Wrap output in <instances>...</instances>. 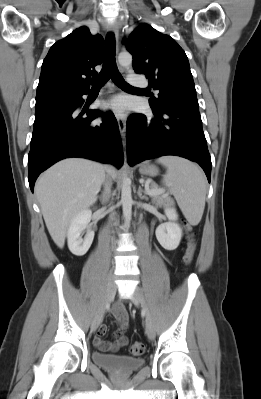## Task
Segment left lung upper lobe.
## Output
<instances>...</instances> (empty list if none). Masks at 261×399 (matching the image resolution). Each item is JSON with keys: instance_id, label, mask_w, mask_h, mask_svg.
Returning a JSON list of instances; mask_svg holds the SVG:
<instances>
[{"instance_id": "1", "label": "left lung upper lobe", "mask_w": 261, "mask_h": 399, "mask_svg": "<svg viewBox=\"0 0 261 399\" xmlns=\"http://www.w3.org/2000/svg\"><path fill=\"white\" fill-rule=\"evenodd\" d=\"M126 47L133 55L135 72L145 74L150 85L160 91L157 98L150 99L153 110L180 103L198 105L188 58L174 39L141 24L130 34Z\"/></svg>"}]
</instances>
